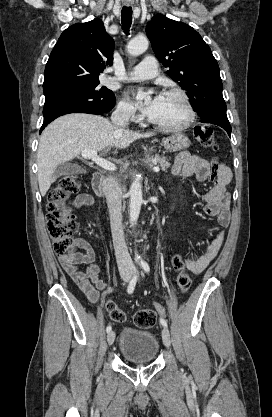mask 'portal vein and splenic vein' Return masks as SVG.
I'll list each match as a JSON object with an SVG mask.
<instances>
[{"mask_svg": "<svg viewBox=\"0 0 272 417\" xmlns=\"http://www.w3.org/2000/svg\"><path fill=\"white\" fill-rule=\"evenodd\" d=\"M82 157L85 159H91L96 165L100 166L101 168L108 170V171H115L116 166L115 164L111 163L110 161H107L106 159H103L97 155V151L93 150H84L82 151ZM154 172H159V167L153 168Z\"/></svg>", "mask_w": 272, "mask_h": 417, "instance_id": "portal-vein-and-splenic-vein-1", "label": "portal vein and splenic vein"}]
</instances>
